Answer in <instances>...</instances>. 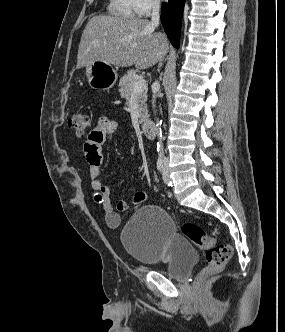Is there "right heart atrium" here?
<instances>
[{
  "label": "right heart atrium",
  "mask_w": 285,
  "mask_h": 332,
  "mask_svg": "<svg viewBox=\"0 0 285 332\" xmlns=\"http://www.w3.org/2000/svg\"><path fill=\"white\" fill-rule=\"evenodd\" d=\"M133 5L138 15L145 16L159 7L160 0H133Z\"/></svg>",
  "instance_id": "obj_1"
}]
</instances>
